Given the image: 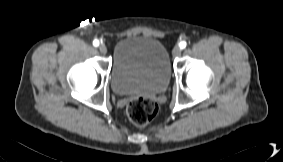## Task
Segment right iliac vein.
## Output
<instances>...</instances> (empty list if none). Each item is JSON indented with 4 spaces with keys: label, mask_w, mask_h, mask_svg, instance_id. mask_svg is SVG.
Masks as SVG:
<instances>
[{
    "label": "right iliac vein",
    "mask_w": 283,
    "mask_h": 162,
    "mask_svg": "<svg viewBox=\"0 0 283 162\" xmlns=\"http://www.w3.org/2000/svg\"><path fill=\"white\" fill-rule=\"evenodd\" d=\"M99 51L102 53V54H106L107 53V47L105 44H100L99 45Z\"/></svg>",
    "instance_id": "1"
}]
</instances>
